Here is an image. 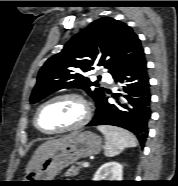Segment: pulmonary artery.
Here are the masks:
<instances>
[{
  "instance_id": "pulmonary-artery-1",
  "label": "pulmonary artery",
  "mask_w": 178,
  "mask_h": 186,
  "mask_svg": "<svg viewBox=\"0 0 178 186\" xmlns=\"http://www.w3.org/2000/svg\"><path fill=\"white\" fill-rule=\"evenodd\" d=\"M103 76H104V78H108L109 77L107 73H103Z\"/></svg>"
}]
</instances>
